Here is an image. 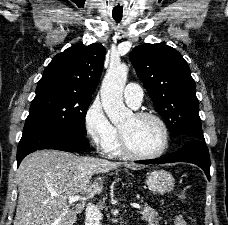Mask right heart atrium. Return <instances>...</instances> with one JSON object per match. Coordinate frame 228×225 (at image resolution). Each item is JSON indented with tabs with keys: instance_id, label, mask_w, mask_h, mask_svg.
Wrapping results in <instances>:
<instances>
[{
	"instance_id": "d8ad5b80",
	"label": "right heart atrium",
	"mask_w": 228,
	"mask_h": 225,
	"mask_svg": "<svg viewBox=\"0 0 228 225\" xmlns=\"http://www.w3.org/2000/svg\"><path fill=\"white\" fill-rule=\"evenodd\" d=\"M83 124L88 138L98 149H104L117 135V129L109 121L101 103L97 100L85 110Z\"/></svg>"
}]
</instances>
